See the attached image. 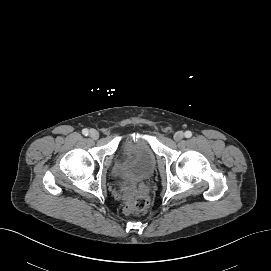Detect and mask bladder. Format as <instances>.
Returning a JSON list of instances; mask_svg holds the SVG:
<instances>
[{"instance_id":"1","label":"bladder","mask_w":271,"mask_h":271,"mask_svg":"<svg viewBox=\"0 0 271 271\" xmlns=\"http://www.w3.org/2000/svg\"><path fill=\"white\" fill-rule=\"evenodd\" d=\"M115 167L129 187L148 179L156 167V154L149 138L135 134L120 139Z\"/></svg>"}]
</instances>
